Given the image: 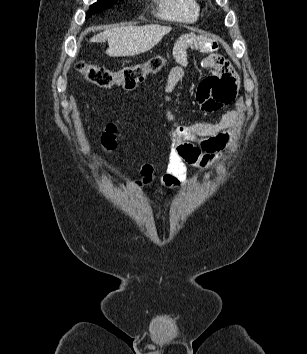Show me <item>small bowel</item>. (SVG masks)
I'll use <instances>...</instances> for the list:
<instances>
[{"label":"small bowel","mask_w":307,"mask_h":354,"mask_svg":"<svg viewBox=\"0 0 307 354\" xmlns=\"http://www.w3.org/2000/svg\"><path fill=\"white\" fill-rule=\"evenodd\" d=\"M196 48L207 53L203 59V66L213 70V75L206 77L199 84L196 99L202 110L213 113L230 104L236 96L237 82L229 62L218 54L215 42L207 37H187L178 41L175 54L178 65L168 74L164 88L166 103H170L179 82L185 76V69L189 64L187 52ZM238 117L237 110H230L222 115L217 122H178L170 109L165 110V118L171 124L170 151L165 174L161 178L164 187L178 188L186 178L185 164H197L202 167L215 165L220 159L221 152L230 144V129ZM117 128L113 123L107 124L102 136V143L108 150L116 146ZM153 166L140 165L142 180L137 186L151 182Z\"/></svg>","instance_id":"c3829d8e"}]
</instances>
